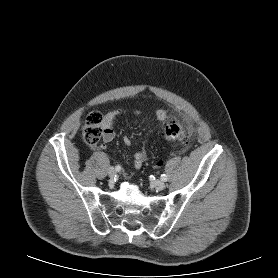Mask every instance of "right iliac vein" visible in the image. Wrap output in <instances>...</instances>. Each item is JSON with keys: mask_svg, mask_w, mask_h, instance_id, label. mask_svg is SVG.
<instances>
[{"mask_svg": "<svg viewBox=\"0 0 278 278\" xmlns=\"http://www.w3.org/2000/svg\"><path fill=\"white\" fill-rule=\"evenodd\" d=\"M108 175L110 178H114L116 176V170L113 167L108 169Z\"/></svg>", "mask_w": 278, "mask_h": 278, "instance_id": "right-iliac-vein-1", "label": "right iliac vein"}]
</instances>
